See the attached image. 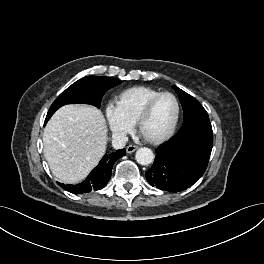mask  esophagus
I'll return each mask as SVG.
<instances>
[{"instance_id":"1","label":"esophagus","mask_w":264,"mask_h":264,"mask_svg":"<svg viewBox=\"0 0 264 264\" xmlns=\"http://www.w3.org/2000/svg\"><path fill=\"white\" fill-rule=\"evenodd\" d=\"M137 149H138V146H136V145H129L126 148V152L130 154V153L135 152Z\"/></svg>"}]
</instances>
